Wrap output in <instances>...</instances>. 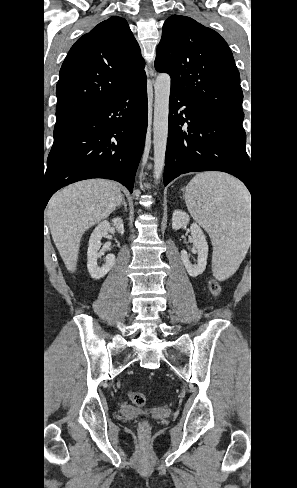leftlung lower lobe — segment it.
<instances>
[{
    "label": "left lung lower lobe",
    "mask_w": 297,
    "mask_h": 488,
    "mask_svg": "<svg viewBox=\"0 0 297 488\" xmlns=\"http://www.w3.org/2000/svg\"><path fill=\"white\" fill-rule=\"evenodd\" d=\"M243 127L195 106L171 91L164 185L188 172L223 171L252 192V170Z\"/></svg>",
    "instance_id": "obj_1"
}]
</instances>
